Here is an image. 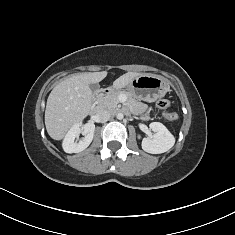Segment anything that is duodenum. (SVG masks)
Listing matches in <instances>:
<instances>
[{"label": "duodenum", "mask_w": 235, "mask_h": 235, "mask_svg": "<svg viewBox=\"0 0 235 235\" xmlns=\"http://www.w3.org/2000/svg\"><path fill=\"white\" fill-rule=\"evenodd\" d=\"M112 92H113V90H112L111 88H101V89H99V90L97 91L95 97H96V98H99V97H101V96H103V95L110 94V93H112Z\"/></svg>", "instance_id": "410a0bca"}]
</instances>
